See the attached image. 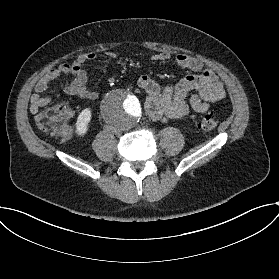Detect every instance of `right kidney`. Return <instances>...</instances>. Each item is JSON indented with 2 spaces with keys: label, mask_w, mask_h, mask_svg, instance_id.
Wrapping results in <instances>:
<instances>
[{
  "label": "right kidney",
  "mask_w": 279,
  "mask_h": 279,
  "mask_svg": "<svg viewBox=\"0 0 279 279\" xmlns=\"http://www.w3.org/2000/svg\"><path fill=\"white\" fill-rule=\"evenodd\" d=\"M92 116L93 110L91 107H86L79 112L74 125L76 137H84L88 133Z\"/></svg>",
  "instance_id": "right-kidney-1"
}]
</instances>
